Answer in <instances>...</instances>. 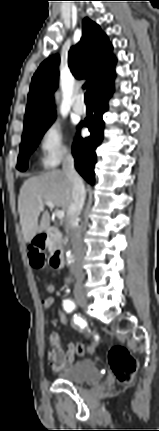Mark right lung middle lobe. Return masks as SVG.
<instances>
[{
  "label": "right lung middle lobe",
  "mask_w": 159,
  "mask_h": 431,
  "mask_svg": "<svg viewBox=\"0 0 159 431\" xmlns=\"http://www.w3.org/2000/svg\"><path fill=\"white\" fill-rule=\"evenodd\" d=\"M54 120L55 116L23 132L20 154L16 167L18 170L25 171L27 169L29 155L36 149L43 134L51 126Z\"/></svg>",
  "instance_id": "obj_1"
}]
</instances>
